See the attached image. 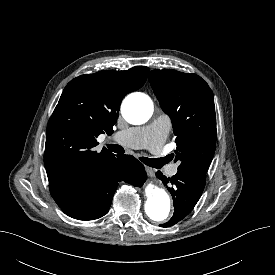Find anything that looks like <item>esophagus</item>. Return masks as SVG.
<instances>
[{
	"instance_id": "1",
	"label": "esophagus",
	"mask_w": 275,
	"mask_h": 275,
	"mask_svg": "<svg viewBox=\"0 0 275 275\" xmlns=\"http://www.w3.org/2000/svg\"><path fill=\"white\" fill-rule=\"evenodd\" d=\"M145 170H146V172H147V174L149 175V176H154V174H155V169H153V168H151V167H148V166H145Z\"/></svg>"
}]
</instances>
